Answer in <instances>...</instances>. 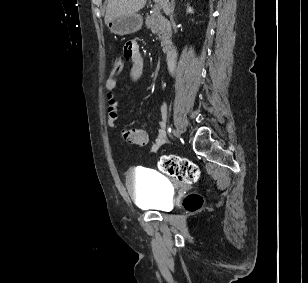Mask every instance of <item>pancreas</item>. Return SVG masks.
I'll list each match as a JSON object with an SVG mask.
<instances>
[{
    "instance_id": "obj_1",
    "label": "pancreas",
    "mask_w": 308,
    "mask_h": 283,
    "mask_svg": "<svg viewBox=\"0 0 308 283\" xmlns=\"http://www.w3.org/2000/svg\"><path fill=\"white\" fill-rule=\"evenodd\" d=\"M145 24L147 28L158 35L161 40V46L164 53H169L171 50V27L169 22L160 14L159 11H154L152 14L147 15Z\"/></svg>"
}]
</instances>
